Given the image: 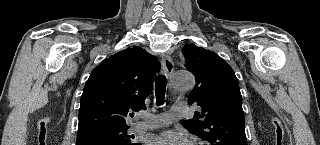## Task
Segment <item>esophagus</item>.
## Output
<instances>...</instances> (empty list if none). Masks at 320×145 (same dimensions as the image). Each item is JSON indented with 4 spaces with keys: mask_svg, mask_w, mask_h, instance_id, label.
Wrapping results in <instances>:
<instances>
[{
    "mask_svg": "<svg viewBox=\"0 0 320 145\" xmlns=\"http://www.w3.org/2000/svg\"><path fill=\"white\" fill-rule=\"evenodd\" d=\"M162 66H163V69H164V72L170 76L173 71H174V64H173V61L171 59V57L169 55H163L162 56Z\"/></svg>",
    "mask_w": 320,
    "mask_h": 145,
    "instance_id": "1",
    "label": "esophagus"
}]
</instances>
